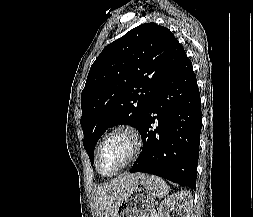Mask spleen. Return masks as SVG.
Instances as JSON below:
<instances>
[{
    "instance_id": "spleen-1",
    "label": "spleen",
    "mask_w": 253,
    "mask_h": 217,
    "mask_svg": "<svg viewBox=\"0 0 253 217\" xmlns=\"http://www.w3.org/2000/svg\"><path fill=\"white\" fill-rule=\"evenodd\" d=\"M152 178L159 185V189H160L159 196L161 198L166 196L168 194V191H169V186L166 184V182L163 179L159 178V177L152 176Z\"/></svg>"
}]
</instances>
